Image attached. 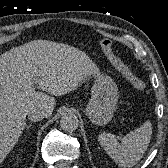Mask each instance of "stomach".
Returning <instances> with one entry per match:
<instances>
[{
  "instance_id": "0dacf381",
  "label": "stomach",
  "mask_w": 168,
  "mask_h": 168,
  "mask_svg": "<svg viewBox=\"0 0 168 168\" xmlns=\"http://www.w3.org/2000/svg\"><path fill=\"white\" fill-rule=\"evenodd\" d=\"M119 97L115 82L106 75L95 74L91 99L85 109L90 121L97 125L109 123Z\"/></svg>"
}]
</instances>
